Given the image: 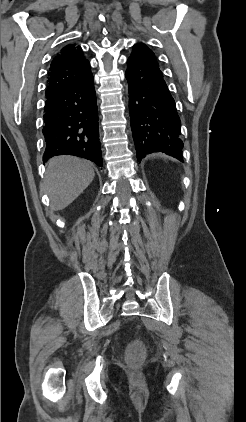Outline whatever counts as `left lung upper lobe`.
<instances>
[{"label":"left lung upper lobe","mask_w":246,"mask_h":422,"mask_svg":"<svg viewBox=\"0 0 246 422\" xmlns=\"http://www.w3.org/2000/svg\"><path fill=\"white\" fill-rule=\"evenodd\" d=\"M138 45H140L142 48H144L155 60H156V57H155V55H154V53H153V51L152 50H150L146 45H144V44H138ZM157 61V60H156Z\"/></svg>","instance_id":"left-lung-upper-lobe-1"}]
</instances>
